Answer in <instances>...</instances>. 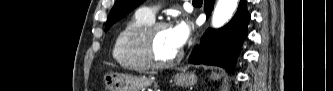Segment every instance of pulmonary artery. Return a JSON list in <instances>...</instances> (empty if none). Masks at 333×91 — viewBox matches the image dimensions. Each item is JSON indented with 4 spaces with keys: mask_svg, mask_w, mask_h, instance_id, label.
I'll use <instances>...</instances> for the list:
<instances>
[{
    "mask_svg": "<svg viewBox=\"0 0 333 91\" xmlns=\"http://www.w3.org/2000/svg\"><path fill=\"white\" fill-rule=\"evenodd\" d=\"M140 14H142L143 16L153 20L156 10L153 8H149V7H143L138 11Z\"/></svg>",
    "mask_w": 333,
    "mask_h": 91,
    "instance_id": "e3ab8cb5",
    "label": "pulmonary artery"
}]
</instances>
